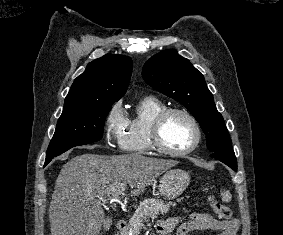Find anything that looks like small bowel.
Listing matches in <instances>:
<instances>
[{
    "label": "small bowel",
    "instance_id": "small-bowel-1",
    "mask_svg": "<svg viewBox=\"0 0 283 235\" xmlns=\"http://www.w3.org/2000/svg\"><path fill=\"white\" fill-rule=\"evenodd\" d=\"M238 222L236 220L223 221L213 218L207 213L191 214L189 219L181 222L179 218L172 217L160 221L157 230L161 235L175 233V235H190L196 231H218V235H236Z\"/></svg>",
    "mask_w": 283,
    "mask_h": 235
}]
</instances>
